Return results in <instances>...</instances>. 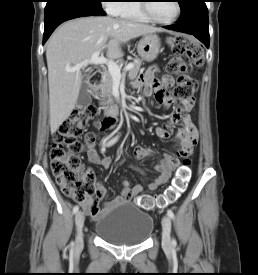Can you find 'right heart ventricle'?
<instances>
[{"instance_id": "e07e8e85", "label": "right heart ventricle", "mask_w": 258, "mask_h": 275, "mask_svg": "<svg viewBox=\"0 0 258 275\" xmlns=\"http://www.w3.org/2000/svg\"><path fill=\"white\" fill-rule=\"evenodd\" d=\"M139 2L141 1L126 0L124 3H120L119 8L114 15L140 22H151V20L143 13L141 3Z\"/></svg>"}]
</instances>
